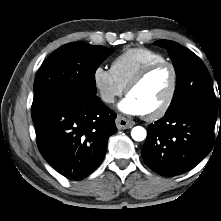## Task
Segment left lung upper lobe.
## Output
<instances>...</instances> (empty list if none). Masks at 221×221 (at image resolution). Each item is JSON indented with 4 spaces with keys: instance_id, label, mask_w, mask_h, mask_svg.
<instances>
[{
    "instance_id": "1",
    "label": "left lung upper lobe",
    "mask_w": 221,
    "mask_h": 221,
    "mask_svg": "<svg viewBox=\"0 0 221 221\" xmlns=\"http://www.w3.org/2000/svg\"><path fill=\"white\" fill-rule=\"evenodd\" d=\"M154 44L167 49L177 75L176 89L167 111L195 103L217 113L218 104L211 77L201 59L174 41L158 40Z\"/></svg>"
}]
</instances>
